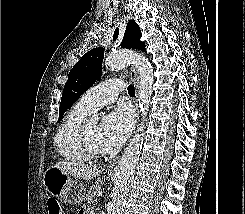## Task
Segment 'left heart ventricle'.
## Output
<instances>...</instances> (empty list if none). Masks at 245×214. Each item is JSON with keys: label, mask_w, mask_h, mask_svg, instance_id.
<instances>
[{"label": "left heart ventricle", "mask_w": 245, "mask_h": 214, "mask_svg": "<svg viewBox=\"0 0 245 214\" xmlns=\"http://www.w3.org/2000/svg\"><path fill=\"white\" fill-rule=\"evenodd\" d=\"M97 131H98V125L96 123H91V122L87 123L86 132H87L89 145L91 146L92 149L102 152V149L99 146L97 140Z\"/></svg>", "instance_id": "1"}]
</instances>
